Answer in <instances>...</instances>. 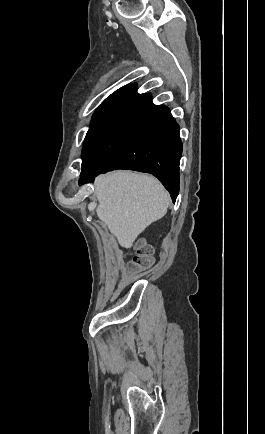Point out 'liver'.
<instances>
[{
	"instance_id": "liver-1",
	"label": "liver",
	"mask_w": 265,
	"mask_h": 434,
	"mask_svg": "<svg viewBox=\"0 0 265 434\" xmlns=\"http://www.w3.org/2000/svg\"><path fill=\"white\" fill-rule=\"evenodd\" d=\"M96 184V214L122 248H131L138 234L167 214L169 194L153 176L112 172Z\"/></svg>"
}]
</instances>
